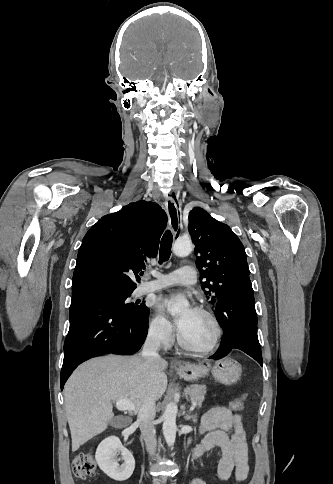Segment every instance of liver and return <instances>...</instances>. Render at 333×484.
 Here are the masks:
<instances>
[{
  "instance_id": "6515ba94",
  "label": "liver",
  "mask_w": 333,
  "mask_h": 484,
  "mask_svg": "<svg viewBox=\"0 0 333 484\" xmlns=\"http://www.w3.org/2000/svg\"><path fill=\"white\" fill-rule=\"evenodd\" d=\"M165 359L105 356L91 359L70 376L64 401L72 451L102 433L112 420L113 401L128 398L139 411L146 395L159 400L167 388Z\"/></svg>"
}]
</instances>
